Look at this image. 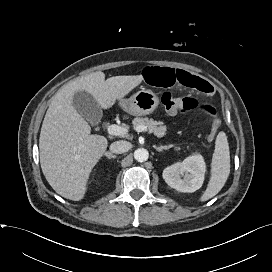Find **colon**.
Here are the masks:
<instances>
[{"label":"colon","instance_id":"colon-1","mask_svg":"<svg viewBox=\"0 0 272 272\" xmlns=\"http://www.w3.org/2000/svg\"><path fill=\"white\" fill-rule=\"evenodd\" d=\"M161 101L165 110L171 114L198 110L213 117L214 120L208 137L210 140L214 139L220 127V121L216 118L217 112L213 106L199 103L193 97L175 95L170 92H165L161 97Z\"/></svg>","mask_w":272,"mask_h":272}]
</instances>
